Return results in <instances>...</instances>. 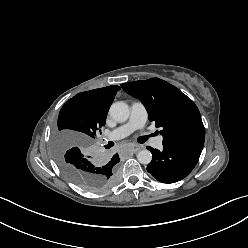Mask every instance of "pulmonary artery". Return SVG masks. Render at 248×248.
I'll use <instances>...</instances> for the list:
<instances>
[{
    "instance_id": "pulmonary-artery-1",
    "label": "pulmonary artery",
    "mask_w": 248,
    "mask_h": 248,
    "mask_svg": "<svg viewBox=\"0 0 248 248\" xmlns=\"http://www.w3.org/2000/svg\"><path fill=\"white\" fill-rule=\"evenodd\" d=\"M147 121V111L145 106L141 102H133L130 107V117L128 122L114 129L107 135L108 140H120L131 134L135 129L142 128ZM148 140L151 141L152 145L161 149L163 146V138L149 137Z\"/></svg>"
}]
</instances>
